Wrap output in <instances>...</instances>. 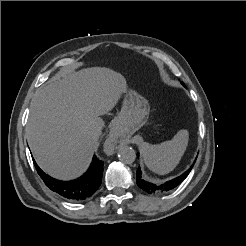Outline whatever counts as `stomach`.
Segmentation results:
<instances>
[{
	"mask_svg": "<svg viewBox=\"0 0 246 246\" xmlns=\"http://www.w3.org/2000/svg\"><path fill=\"white\" fill-rule=\"evenodd\" d=\"M150 107L148 101L135 91H129L118 114L117 128L131 135L139 130L148 120Z\"/></svg>",
	"mask_w": 246,
	"mask_h": 246,
	"instance_id": "obj_1",
	"label": "stomach"
}]
</instances>
